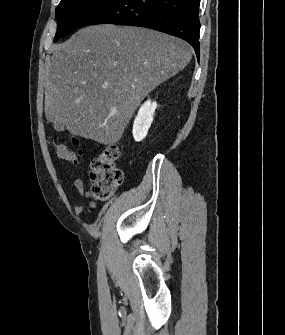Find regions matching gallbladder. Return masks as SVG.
<instances>
[{"label":"gallbladder","mask_w":285,"mask_h":335,"mask_svg":"<svg viewBox=\"0 0 285 335\" xmlns=\"http://www.w3.org/2000/svg\"><path fill=\"white\" fill-rule=\"evenodd\" d=\"M54 128H55V130H58V132H61V130H63L64 126H63V124H59V122H57V124H54Z\"/></svg>","instance_id":"obj_1"}]
</instances>
